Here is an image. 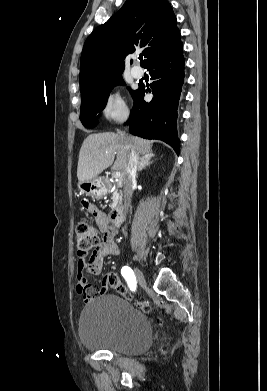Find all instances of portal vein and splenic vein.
Masks as SVG:
<instances>
[{"label":"portal vein and splenic vein","mask_w":267,"mask_h":391,"mask_svg":"<svg viewBox=\"0 0 267 391\" xmlns=\"http://www.w3.org/2000/svg\"><path fill=\"white\" fill-rule=\"evenodd\" d=\"M113 177L120 178L121 177V172H119V171L114 172L113 173Z\"/></svg>","instance_id":"portal-vein-and-splenic-vein-1"}]
</instances>
